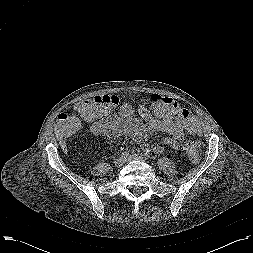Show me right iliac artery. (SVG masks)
<instances>
[{
  "label": "right iliac artery",
  "mask_w": 253,
  "mask_h": 253,
  "mask_svg": "<svg viewBox=\"0 0 253 253\" xmlns=\"http://www.w3.org/2000/svg\"><path fill=\"white\" fill-rule=\"evenodd\" d=\"M122 158H127L129 156V152L128 151H123L121 154Z\"/></svg>",
  "instance_id": "82829eb1"
}]
</instances>
